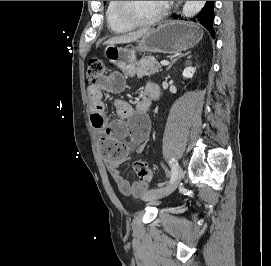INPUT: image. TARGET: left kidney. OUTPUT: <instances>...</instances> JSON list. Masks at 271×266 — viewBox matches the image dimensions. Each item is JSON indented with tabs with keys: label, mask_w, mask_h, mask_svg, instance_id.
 <instances>
[{
	"label": "left kidney",
	"mask_w": 271,
	"mask_h": 266,
	"mask_svg": "<svg viewBox=\"0 0 271 266\" xmlns=\"http://www.w3.org/2000/svg\"><path fill=\"white\" fill-rule=\"evenodd\" d=\"M196 71V68L194 67H188V68H185L182 75L185 77V78H192L194 73Z\"/></svg>",
	"instance_id": "left-kidney-1"
}]
</instances>
